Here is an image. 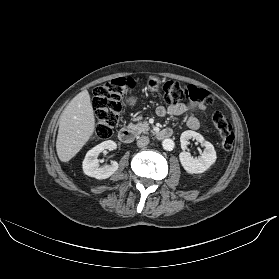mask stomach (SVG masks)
Listing matches in <instances>:
<instances>
[{"label": "stomach", "mask_w": 279, "mask_h": 279, "mask_svg": "<svg viewBox=\"0 0 279 279\" xmlns=\"http://www.w3.org/2000/svg\"><path fill=\"white\" fill-rule=\"evenodd\" d=\"M161 81L158 77L156 76H150L147 80V86L151 91H158L160 87ZM137 98L134 96H131L129 98V103L131 105H134L136 103Z\"/></svg>", "instance_id": "stomach-1"}]
</instances>
